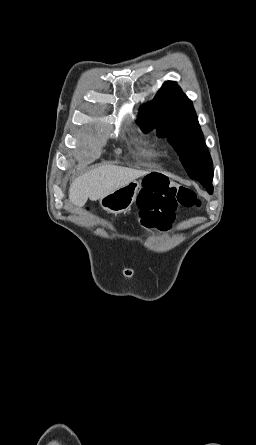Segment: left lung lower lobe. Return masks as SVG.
<instances>
[{"mask_svg":"<svg viewBox=\"0 0 256 445\" xmlns=\"http://www.w3.org/2000/svg\"><path fill=\"white\" fill-rule=\"evenodd\" d=\"M204 187H206V189H207V191L209 192V193H212L213 192V186H212V184H211V181L212 180H204V179H201V180H198Z\"/></svg>","mask_w":256,"mask_h":445,"instance_id":"1","label":"left lung lower lobe"}]
</instances>
